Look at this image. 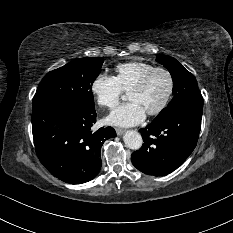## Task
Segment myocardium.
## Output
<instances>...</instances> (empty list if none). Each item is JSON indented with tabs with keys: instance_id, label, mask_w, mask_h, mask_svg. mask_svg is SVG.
Listing matches in <instances>:
<instances>
[{
	"instance_id": "obj_1",
	"label": "myocardium",
	"mask_w": 233,
	"mask_h": 233,
	"mask_svg": "<svg viewBox=\"0 0 233 233\" xmlns=\"http://www.w3.org/2000/svg\"><path fill=\"white\" fill-rule=\"evenodd\" d=\"M158 72H162L165 73L168 77V81H169V86H168V91L167 94L164 98V100L162 101V103L160 104L159 107H157L156 109L150 111L147 113V115L149 116H156L159 115L160 113H162L168 106L173 93H174V88H175V82H174V77L172 75V73L163 67H156L153 70H151L150 72H148L147 74H145L130 90V92H137V91H141L142 89L145 88V86L147 85V83L149 82V80Z\"/></svg>"
}]
</instances>
